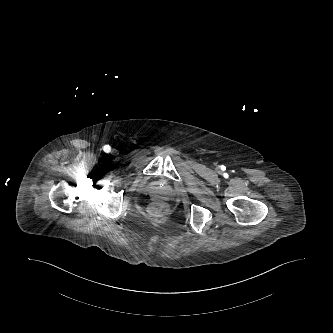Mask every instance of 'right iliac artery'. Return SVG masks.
<instances>
[{"instance_id": "1", "label": "right iliac artery", "mask_w": 333, "mask_h": 333, "mask_svg": "<svg viewBox=\"0 0 333 333\" xmlns=\"http://www.w3.org/2000/svg\"><path fill=\"white\" fill-rule=\"evenodd\" d=\"M103 150H104V152L109 153L111 150V147L109 145H105V146H103Z\"/></svg>"}]
</instances>
